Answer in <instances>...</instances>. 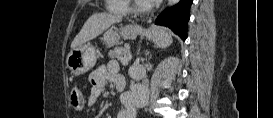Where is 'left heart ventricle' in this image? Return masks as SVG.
Listing matches in <instances>:
<instances>
[{
	"label": "left heart ventricle",
	"mask_w": 273,
	"mask_h": 118,
	"mask_svg": "<svg viewBox=\"0 0 273 118\" xmlns=\"http://www.w3.org/2000/svg\"><path fill=\"white\" fill-rule=\"evenodd\" d=\"M139 5H145L144 1H139Z\"/></svg>",
	"instance_id": "left-heart-ventricle-1"
}]
</instances>
